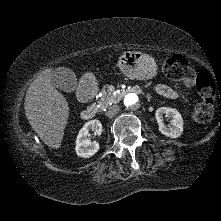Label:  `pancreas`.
<instances>
[{"mask_svg": "<svg viewBox=\"0 0 221 221\" xmlns=\"http://www.w3.org/2000/svg\"><path fill=\"white\" fill-rule=\"evenodd\" d=\"M102 97L98 101V105L100 109L107 108L111 103L116 101V98L112 96V91L110 90V86L106 85L101 91Z\"/></svg>", "mask_w": 221, "mask_h": 221, "instance_id": "cf45deb5", "label": "pancreas"}]
</instances>
